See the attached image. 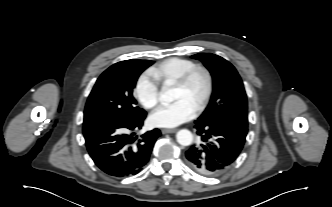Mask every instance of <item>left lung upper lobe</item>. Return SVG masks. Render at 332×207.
Wrapping results in <instances>:
<instances>
[{
  "label": "left lung upper lobe",
  "mask_w": 332,
  "mask_h": 207,
  "mask_svg": "<svg viewBox=\"0 0 332 207\" xmlns=\"http://www.w3.org/2000/svg\"><path fill=\"white\" fill-rule=\"evenodd\" d=\"M192 58L201 60L213 78L210 102L197 121L211 122L232 115L247 116V96L236 69L222 57L211 53H199Z\"/></svg>",
  "instance_id": "obj_1"
}]
</instances>
